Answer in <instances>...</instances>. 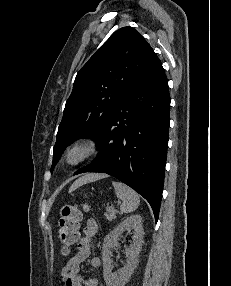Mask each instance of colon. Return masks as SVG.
<instances>
[{
	"label": "colon",
	"mask_w": 231,
	"mask_h": 286,
	"mask_svg": "<svg viewBox=\"0 0 231 286\" xmlns=\"http://www.w3.org/2000/svg\"><path fill=\"white\" fill-rule=\"evenodd\" d=\"M82 209L79 205H66L61 209L58 237L63 255H68L80 237Z\"/></svg>",
	"instance_id": "colon-1"
}]
</instances>
